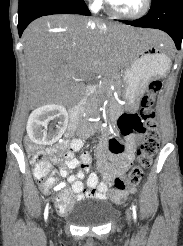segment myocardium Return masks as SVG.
I'll list each match as a JSON object with an SVG mask.
<instances>
[{"label": "myocardium", "mask_w": 183, "mask_h": 246, "mask_svg": "<svg viewBox=\"0 0 183 246\" xmlns=\"http://www.w3.org/2000/svg\"><path fill=\"white\" fill-rule=\"evenodd\" d=\"M151 3H152V0H144L143 6L139 11H137L136 13H133V14H125V13L117 11L113 7L110 0H105L106 9L111 15H113L117 18L126 19V20L138 19V18L144 16L148 12V10L150 9Z\"/></svg>", "instance_id": "1"}]
</instances>
